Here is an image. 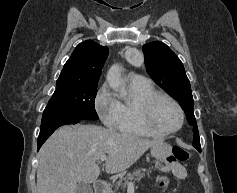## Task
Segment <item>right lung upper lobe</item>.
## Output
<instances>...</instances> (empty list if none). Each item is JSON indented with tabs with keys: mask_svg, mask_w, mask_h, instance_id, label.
<instances>
[{
	"mask_svg": "<svg viewBox=\"0 0 237 193\" xmlns=\"http://www.w3.org/2000/svg\"><path fill=\"white\" fill-rule=\"evenodd\" d=\"M108 48L92 40L77 45L64 65L58 80L98 84Z\"/></svg>",
	"mask_w": 237,
	"mask_h": 193,
	"instance_id": "obj_1",
	"label": "right lung upper lobe"
}]
</instances>
